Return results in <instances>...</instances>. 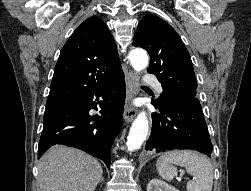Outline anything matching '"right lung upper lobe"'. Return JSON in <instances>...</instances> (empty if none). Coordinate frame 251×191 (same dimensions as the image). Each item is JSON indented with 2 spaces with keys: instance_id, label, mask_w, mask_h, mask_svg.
<instances>
[{
  "instance_id": "1",
  "label": "right lung upper lobe",
  "mask_w": 251,
  "mask_h": 191,
  "mask_svg": "<svg viewBox=\"0 0 251 191\" xmlns=\"http://www.w3.org/2000/svg\"><path fill=\"white\" fill-rule=\"evenodd\" d=\"M123 74L115 41L98 17L85 20L60 52L45 110L73 104Z\"/></svg>"
}]
</instances>
